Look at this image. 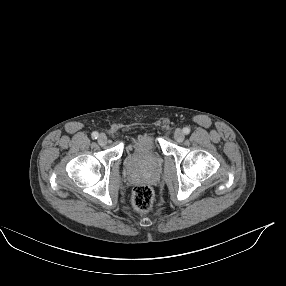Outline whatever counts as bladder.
<instances>
[{"label":"bladder","mask_w":286,"mask_h":286,"mask_svg":"<svg viewBox=\"0 0 286 286\" xmlns=\"http://www.w3.org/2000/svg\"><path fill=\"white\" fill-rule=\"evenodd\" d=\"M133 145L142 149L146 148L155 149L159 146V141L154 133L145 132L136 136V138L133 140Z\"/></svg>","instance_id":"bladder-1"}]
</instances>
